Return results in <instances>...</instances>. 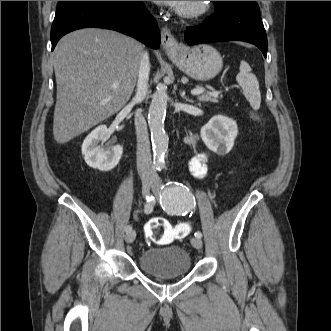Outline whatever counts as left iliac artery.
Returning a JSON list of instances; mask_svg holds the SVG:
<instances>
[{"label": "left iliac artery", "instance_id": "1", "mask_svg": "<svg viewBox=\"0 0 331 331\" xmlns=\"http://www.w3.org/2000/svg\"><path fill=\"white\" fill-rule=\"evenodd\" d=\"M162 190L160 204L168 214L185 216L195 207L194 196L187 186L178 182H168ZM195 237L201 238L202 233L197 231Z\"/></svg>", "mask_w": 331, "mask_h": 331}]
</instances>
